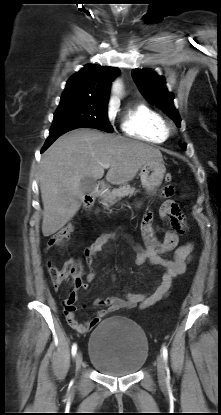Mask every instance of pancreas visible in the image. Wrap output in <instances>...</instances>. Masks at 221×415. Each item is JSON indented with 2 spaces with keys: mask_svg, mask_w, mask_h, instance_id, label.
Segmentation results:
<instances>
[{
  "mask_svg": "<svg viewBox=\"0 0 221 415\" xmlns=\"http://www.w3.org/2000/svg\"><path fill=\"white\" fill-rule=\"evenodd\" d=\"M136 193L134 188H131L130 185L124 184L120 186L118 189H113L112 191H108L102 195V203L109 207L113 205L115 202L120 200L122 197L129 196L131 197Z\"/></svg>",
  "mask_w": 221,
  "mask_h": 415,
  "instance_id": "cf45deb5",
  "label": "pancreas"
}]
</instances>
